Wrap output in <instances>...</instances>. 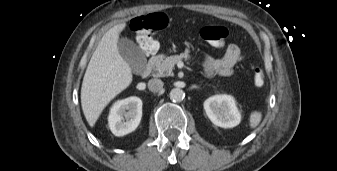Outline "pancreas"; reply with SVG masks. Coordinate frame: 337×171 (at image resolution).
<instances>
[{
	"instance_id": "cf45deb5",
	"label": "pancreas",
	"mask_w": 337,
	"mask_h": 171,
	"mask_svg": "<svg viewBox=\"0 0 337 171\" xmlns=\"http://www.w3.org/2000/svg\"><path fill=\"white\" fill-rule=\"evenodd\" d=\"M190 55L188 52L181 53L180 55H173V56H164L159 55L156 56L152 63V68L154 75L157 77H165L173 75L172 70L178 62L182 60H189Z\"/></svg>"
}]
</instances>
